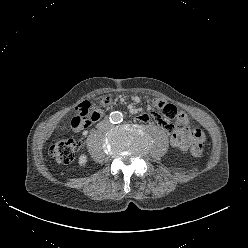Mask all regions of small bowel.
Here are the masks:
<instances>
[{
  "label": "small bowel",
  "instance_id": "small-bowel-1",
  "mask_svg": "<svg viewBox=\"0 0 248 248\" xmlns=\"http://www.w3.org/2000/svg\"><path fill=\"white\" fill-rule=\"evenodd\" d=\"M154 107L161 110L162 116L154 107L149 106L146 109L147 114L158 123V125L170 134V144L179 150L186 151L191 142V131L187 130L188 118L182 113L175 104H169L161 96H155L152 99ZM137 111V109H133ZM147 114H141L138 118L141 122H146L149 119ZM103 115V110L98 109L97 117L94 121L100 119ZM177 120V126L170 124L171 121Z\"/></svg>",
  "mask_w": 248,
  "mask_h": 248
}]
</instances>
